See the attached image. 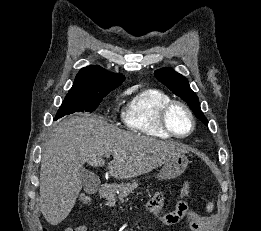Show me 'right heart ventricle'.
<instances>
[{
  "label": "right heart ventricle",
  "instance_id": "obj_1",
  "mask_svg": "<svg viewBox=\"0 0 261 231\" xmlns=\"http://www.w3.org/2000/svg\"><path fill=\"white\" fill-rule=\"evenodd\" d=\"M172 101L171 97L159 90L148 89L135 94L122 110L123 124L140 134L169 139L160 123L162 108Z\"/></svg>",
  "mask_w": 261,
  "mask_h": 231
}]
</instances>
